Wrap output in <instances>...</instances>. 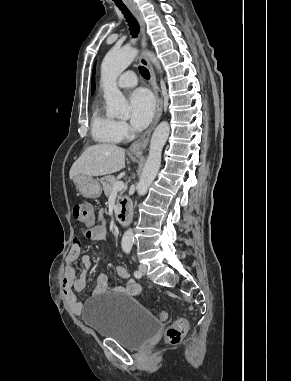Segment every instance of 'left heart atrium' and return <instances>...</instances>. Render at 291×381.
Listing matches in <instances>:
<instances>
[{
  "instance_id": "39dd6f15",
  "label": "left heart atrium",
  "mask_w": 291,
  "mask_h": 381,
  "mask_svg": "<svg viewBox=\"0 0 291 381\" xmlns=\"http://www.w3.org/2000/svg\"><path fill=\"white\" fill-rule=\"evenodd\" d=\"M130 120L135 128L142 129L149 124L154 115L153 96L145 89H137L130 96Z\"/></svg>"
}]
</instances>
